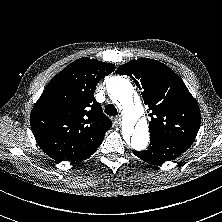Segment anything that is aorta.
Returning a JSON list of instances; mask_svg holds the SVG:
<instances>
[{"mask_svg":"<svg viewBox=\"0 0 222 222\" xmlns=\"http://www.w3.org/2000/svg\"><path fill=\"white\" fill-rule=\"evenodd\" d=\"M113 102L123 110L122 134L135 150L145 149L149 142V128L143 117V107L133 101V86L128 79L114 77L108 86Z\"/></svg>","mask_w":222,"mask_h":222,"instance_id":"762f6f07","label":"aorta"}]
</instances>
